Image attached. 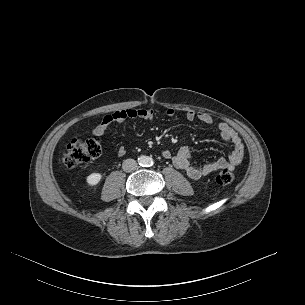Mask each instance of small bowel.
I'll return each instance as SVG.
<instances>
[{
    "mask_svg": "<svg viewBox=\"0 0 305 305\" xmlns=\"http://www.w3.org/2000/svg\"><path fill=\"white\" fill-rule=\"evenodd\" d=\"M173 109H167L165 114L167 117L174 116ZM186 119L190 122L199 121L207 127L214 125V119L211 115L205 112L188 111L185 115ZM142 119L145 121H151L154 118V112L147 108H127L116 110L106 116L100 121V123L94 128L93 133L96 136H103L108 127L114 123L124 122L128 119ZM217 129L220 137L223 141L232 145L233 150L229 158H218L215 161L208 163L194 162L192 152L188 147L180 148L176 153L170 150H163L162 156L165 159H169L180 170H183L189 178L193 180H202L211 175L212 173L221 169H235L241 164L245 155V147L236 131L225 122H220L217 125ZM119 157L126 154L124 146H120L117 150Z\"/></svg>",
    "mask_w": 305,
    "mask_h": 305,
    "instance_id": "1",
    "label": "small bowel"
}]
</instances>
